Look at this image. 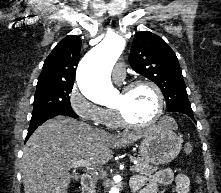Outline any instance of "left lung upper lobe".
<instances>
[{
	"label": "left lung upper lobe",
	"instance_id": "left-lung-upper-lobe-1",
	"mask_svg": "<svg viewBox=\"0 0 221 193\" xmlns=\"http://www.w3.org/2000/svg\"><path fill=\"white\" fill-rule=\"evenodd\" d=\"M129 62L136 72L159 86L169 112L192 110L178 59L161 37L149 31L136 33Z\"/></svg>",
	"mask_w": 221,
	"mask_h": 193
}]
</instances>
